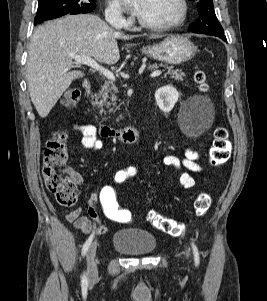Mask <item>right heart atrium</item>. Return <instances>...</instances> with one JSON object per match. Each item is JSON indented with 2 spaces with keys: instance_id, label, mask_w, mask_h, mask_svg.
<instances>
[{
  "instance_id": "obj_1",
  "label": "right heart atrium",
  "mask_w": 267,
  "mask_h": 301,
  "mask_svg": "<svg viewBox=\"0 0 267 301\" xmlns=\"http://www.w3.org/2000/svg\"><path fill=\"white\" fill-rule=\"evenodd\" d=\"M105 17L109 21L126 22V19L123 16L121 8L116 0H108L105 10Z\"/></svg>"
}]
</instances>
